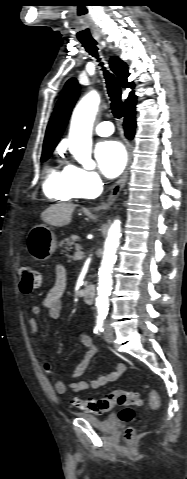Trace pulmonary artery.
<instances>
[{
  "instance_id": "pulmonary-artery-1",
  "label": "pulmonary artery",
  "mask_w": 187,
  "mask_h": 479,
  "mask_svg": "<svg viewBox=\"0 0 187 479\" xmlns=\"http://www.w3.org/2000/svg\"><path fill=\"white\" fill-rule=\"evenodd\" d=\"M113 131L114 126L110 121L101 122L95 127V132L100 136H109Z\"/></svg>"
}]
</instances>
